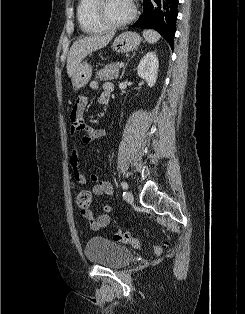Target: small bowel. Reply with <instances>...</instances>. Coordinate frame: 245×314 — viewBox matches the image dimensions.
<instances>
[{
    "instance_id": "c3829d8e",
    "label": "small bowel",
    "mask_w": 245,
    "mask_h": 314,
    "mask_svg": "<svg viewBox=\"0 0 245 314\" xmlns=\"http://www.w3.org/2000/svg\"><path fill=\"white\" fill-rule=\"evenodd\" d=\"M90 87L92 89H97L99 87L96 81H92L90 83ZM112 92V85L110 83L103 84V92L98 97V102L102 105L108 104L110 100V95ZM87 105V98L84 96L79 97L75 104L72 107L70 113V134L72 137H76L81 134L80 141L83 143L92 142L98 138H101L106 135V131L103 129H97L90 125H88L84 120V112ZM71 163L73 166V178L78 184H85L87 179L85 175L81 172L79 166V152L77 145L74 146ZM90 180L93 182L92 185V193L94 195L100 196L103 194L113 195V187L112 185L105 180H101L97 175H91ZM104 214H101L97 217L93 215L91 210L87 213H81V215L88 220L89 226L92 230H101L106 228L110 222L111 217L110 213H112L113 208L110 205L104 204L102 206Z\"/></svg>"
}]
</instances>
